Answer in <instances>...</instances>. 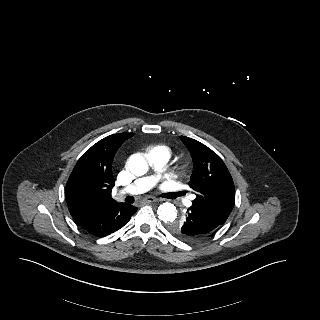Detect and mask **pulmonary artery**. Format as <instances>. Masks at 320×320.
<instances>
[{"mask_svg": "<svg viewBox=\"0 0 320 320\" xmlns=\"http://www.w3.org/2000/svg\"><path fill=\"white\" fill-rule=\"evenodd\" d=\"M169 157V153L165 150L150 151L147 158L150 166L155 171V174L135 180L132 184L122 189L119 194L136 195L150 190L158 182L160 173L166 166Z\"/></svg>", "mask_w": 320, "mask_h": 320, "instance_id": "1", "label": "pulmonary artery"}]
</instances>
